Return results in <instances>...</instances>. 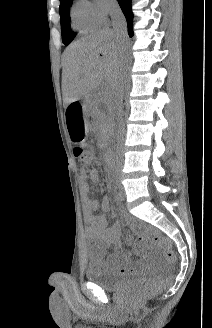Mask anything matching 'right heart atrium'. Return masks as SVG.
<instances>
[{
  "mask_svg": "<svg viewBox=\"0 0 212 328\" xmlns=\"http://www.w3.org/2000/svg\"><path fill=\"white\" fill-rule=\"evenodd\" d=\"M88 10L91 17L99 23H105L115 10V0H88Z\"/></svg>",
  "mask_w": 212,
  "mask_h": 328,
  "instance_id": "1",
  "label": "right heart atrium"
}]
</instances>
